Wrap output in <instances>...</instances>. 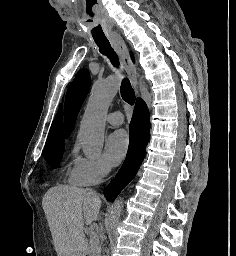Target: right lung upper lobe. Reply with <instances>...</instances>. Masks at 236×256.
<instances>
[{
	"mask_svg": "<svg viewBox=\"0 0 236 256\" xmlns=\"http://www.w3.org/2000/svg\"><path fill=\"white\" fill-rule=\"evenodd\" d=\"M132 59L134 60L133 55L131 54ZM64 140L63 132V123H62V104H60L59 111L55 117V120L52 124L50 135L47 139V142H54Z\"/></svg>",
	"mask_w": 236,
	"mask_h": 256,
	"instance_id": "obj_1",
	"label": "right lung upper lobe"
}]
</instances>
